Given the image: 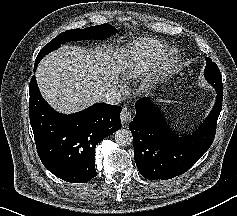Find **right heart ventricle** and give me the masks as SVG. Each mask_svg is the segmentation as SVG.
<instances>
[{
  "instance_id": "1",
  "label": "right heart ventricle",
  "mask_w": 237,
  "mask_h": 216,
  "mask_svg": "<svg viewBox=\"0 0 237 216\" xmlns=\"http://www.w3.org/2000/svg\"><path fill=\"white\" fill-rule=\"evenodd\" d=\"M169 43L162 39L141 37L114 52L113 79L119 85L137 86Z\"/></svg>"
}]
</instances>
